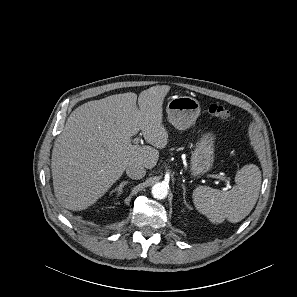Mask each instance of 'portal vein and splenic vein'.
I'll return each mask as SVG.
<instances>
[{"label": "portal vein and splenic vein", "instance_id": "1", "mask_svg": "<svg viewBox=\"0 0 297 297\" xmlns=\"http://www.w3.org/2000/svg\"><path fill=\"white\" fill-rule=\"evenodd\" d=\"M140 142V138H135L133 140L134 144H138ZM208 178H212V179H220V180H224L225 183L227 184V186L230 184V181L228 179L223 178L222 176H220L219 174H208L207 175ZM224 190H226V188H224Z\"/></svg>", "mask_w": 297, "mask_h": 297}]
</instances>
